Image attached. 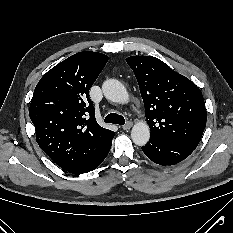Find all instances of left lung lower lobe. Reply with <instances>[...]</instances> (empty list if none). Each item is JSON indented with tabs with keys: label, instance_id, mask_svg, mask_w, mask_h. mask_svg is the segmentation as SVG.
Wrapping results in <instances>:
<instances>
[{
	"label": "left lung lower lobe",
	"instance_id": "obj_1",
	"mask_svg": "<svg viewBox=\"0 0 233 233\" xmlns=\"http://www.w3.org/2000/svg\"><path fill=\"white\" fill-rule=\"evenodd\" d=\"M142 150L151 161L163 166L179 163L193 152V149L186 146L155 137H150Z\"/></svg>",
	"mask_w": 233,
	"mask_h": 233
}]
</instances>
